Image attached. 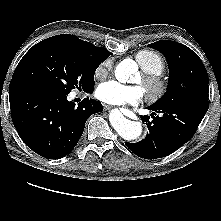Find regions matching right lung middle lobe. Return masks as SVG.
<instances>
[{"instance_id": "obj_1", "label": "right lung middle lobe", "mask_w": 221, "mask_h": 221, "mask_svg": "<svg viewBox=\"0 0 221 221\" xmlns=\"http://www.w3.org/2000/svg\"><path fill=\"white\" fill-rule=\"evenodd\" d=\"M100 64L72 45L50 37L34 45L23 56L12 80L68 95L74 88L93 89L94 73Z\"/></svg>"}]
</instances>
